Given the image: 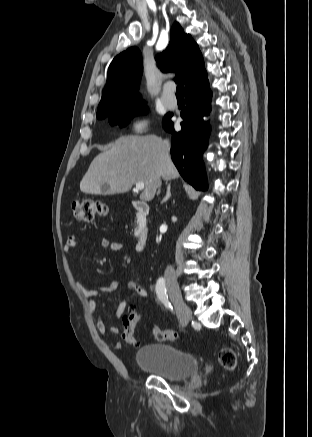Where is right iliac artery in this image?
I'll return each mask as SVG.
<instances>
[{
	"label": "right iliac artery",
	"instance_id": "82829eb1",
	"mask_svg": "<svg viewBox=\"0 0 312 437\" xmlns=\"http://www.w3.org/2000/svg\"><path fill=\"white\" fill-rule=\"evenodd\" d=\"M155 291L158 299L169 309H173L168 301V295L166 290V284L164 278H159L156 283Z\"/></svg>",
	"mask_w": 312,
	"mask_h": 437
}]
</instances>
